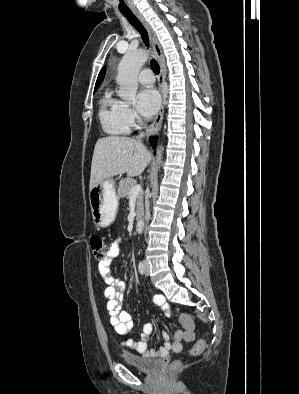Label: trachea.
<instances>
[{
  "instance_id": "1",
  "label": "trachea",
  "mask_w": 299,
  "mask_h": 394,
  "mask_svg": "<svg viewBox=\"0 0 299 394\" xmlns=\"http://www.w3.org/2000/svg\"><path fill=\"white\" fill-rule=\"evenodd\" d=\"M120 12L124 15V17L129 21V23L141 34L143 42L148 47L149 46V38L148 33L141 22L137 19V17L131 11H123ZM151 68L156 73L159 74L160 68L158 63L152 59L151 60Z\"/></svg>"
}]
</instances>
